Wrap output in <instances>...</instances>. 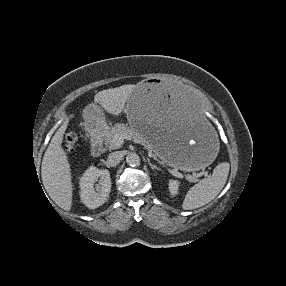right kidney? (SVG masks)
I'll return each instance as SVG.
<instances>
[{
	"instance_id": "obj_1",
	"label": "right kidney",
	"mask_w": 286,
	"mask_h": 286,
	"mask_svg": "<svg viewBox=\"0 0 286 286\" xmlns=\"http://www.w3.org/2000/svg\"><path fill=\"white\" fill-rule=\"evenodd\" d=\"M98 182L94 186L95 182ZM81 201L90 209H95L106 202L110 190L111 179L107 169L89 167L80 178Z\"/></svg>"
}]
</instances>
